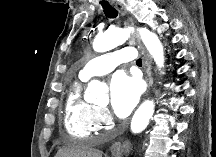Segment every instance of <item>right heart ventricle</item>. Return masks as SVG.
<instances>
[{
    "label": "right heart ventricle",
    "instance_id": "obj_1",
    "mask_svg": "<svg viewBox=\"0 0 216 157\" xmlns=\"http://www.w3.org/2000/svg\"><path fill=\"white\" fill-rule=\"evenodd\" d=\"M85 80L75 81L65 102L64 127L74 137L87 138L96 131L93 116L96 107L82 97V84Z\"/></svg>",
    "mask_w": 216,
    "mask_h": 157
}]
</instances>
